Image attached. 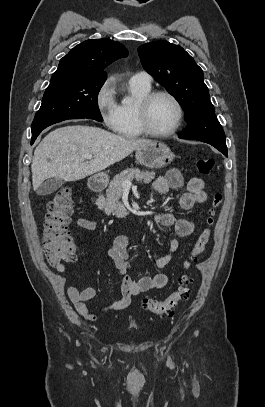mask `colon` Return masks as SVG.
Masks as SVG:
<instances>
[{
  "label": "colon",
  "instance_id": "1",
  "mask_svg": "<svg viewBox=\"0 0 265 407\" xmlns=\"http://www.w3.org/2000/svg\"><path fill=\"white\" fill-rule=\"evenodd\" d=\"M212 158H198L196 160L197 171L202 175H209L214 168ZM222 203V195L216 193L213 198L212 208L206 219V225L200 232L188 257L183 262L182 272L179 276L176 289L164 300L145 298L142 306L148 312L157 316H170L189 299V285L192 278L188 273L191 264L205 251L214 224L215 209ZM73 193L69 188L58 190L47 205V213L44 221L43 248L47 261L54 267L65 262H71L75 258V248L72 240L65 231L73 212Z\"/></svg>",
  "mask_w": 265,
  "mask_h": 407
}]
</instances>
